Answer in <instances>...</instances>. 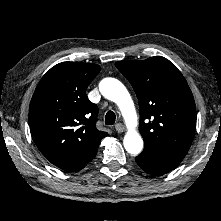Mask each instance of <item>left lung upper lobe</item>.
Segmentation results:
<instances>
[{
	"instance_id": "left-lung-upper-lobe-1",
	"label": "left lung upper lobe",
	"mask_w": 221,
	"mask_h": 221,
	"mask_svg": "<svg viewBox=\"0 0 221 221\" xmlns=\"http://www.w3.org/2000/svg\"><path fill=\"white\" fill-rule=\"evenodd\" d=\"M139 101V131L144 145L185 156L196 127V107L181 72L166 58L115 63Z\"/></svg>"
}]
</instances>
